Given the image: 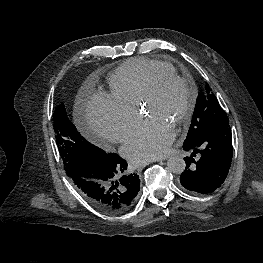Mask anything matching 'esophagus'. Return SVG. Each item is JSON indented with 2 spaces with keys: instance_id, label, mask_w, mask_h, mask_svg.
<instances>
[{
  "instance_id": "1",
  "label": "esophagus",
  "mask_w": 263,
  "mask_h": 263,
  "mask_svg": "<svg viewBox=\"0 0 263 263\" xmlns=\"http://www.w3.org/2000/svg\"><path fill=\"white\" fill-rule=\"evenodd\" d=\"M157 161H162V160H157ZM149 163H143V164H140V165H138V168L139 169H142V168H144L145 166H147Z\"/></svg>"
}]
</instances>
